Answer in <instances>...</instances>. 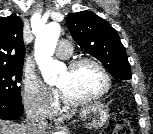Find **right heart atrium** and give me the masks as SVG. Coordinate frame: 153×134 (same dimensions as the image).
<instances>
[{"instance_id":"right-heart-atrium-1","label":"right heart atrium","mask_w":153,"mask_h":134,"mask_svg":"<svg viewBox=\"0 0 153 134\" xmlns=\"http://www.w3.org/2000/svg\"><path fill=\"white\" fill-rule=\"evenodd\" d=\"M23 104L30 114L48 117L57 109V93L36 74L27 73L24 77Z\"/></svg>"}]
</instances>
